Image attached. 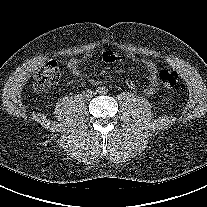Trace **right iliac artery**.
Listing matches in <instances>:
<instances>
[{
  "label": "right iliac artery",
  "mask_w": 207,
  "mask_h": 207,
  "mask_svg": "<svg viewBox=\"0 0 207 207\" xmlns=\"http://www.w3.org/2000/svg\"><path fill=\"white\" fill-rule=\"evenodd\" d=\"M102 89H103V88L98 87L97 92H101Z\"/></svg>",
  "instance_id": "1"
}]
</instances>
